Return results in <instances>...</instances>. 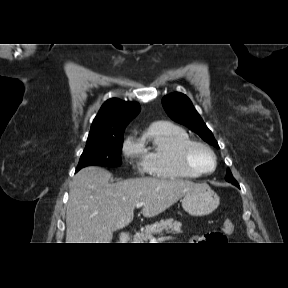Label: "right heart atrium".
Returning <instances> with one entry per match:
<instances>
[{"mask_svg": "<svg viewBox=\"0 0 288 288\" xmlns=\"http://www.w3.org/2000/svg\"><path fill=\"white\" fill-rule=\"evenodd\" d=\"M122 154L127 161H141V150L137 141L132 137H128L122 146Z\"/></svg>", "mask_w": 288, "mask_h": 288, "instance_id": "1", "label": "right heart atrium"}]
</instances>
